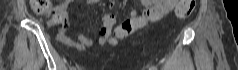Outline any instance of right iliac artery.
<instances>
[{"label": "right iliac artery", "instance_id": "obj_1", "mask_svg": "<svg viewBox=\"0 0 238 70\" xmlns=\"http://www.w3.org/2000/svg\"><path fill=\"white\" fill-rule=\"evenodd\" d=\"M71 70H75V68H71Z\"/></svg>", "mask_w": 238, "mask_h": 70}]
</instances>
